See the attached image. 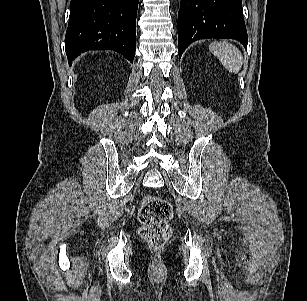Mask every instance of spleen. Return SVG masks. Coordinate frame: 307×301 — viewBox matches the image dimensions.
Segmentation results:
<instances>
[{"label": "spleen", "mask_w": 307, "mask_h": 301, "mask_svg": "<svg viewBox=\"0 0 307 301\" xmlns=\"http://www.w3.org/2000/svg\"><path fill=\"white\" fill-rule=\"evenodd\" d=\"M209 50L229 72L236 74L241 69L243 57L234 45L226 41H214L209 45Z\"/></svg>", "instance_id": "spleen-1"}]
</instances>
